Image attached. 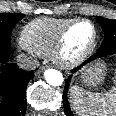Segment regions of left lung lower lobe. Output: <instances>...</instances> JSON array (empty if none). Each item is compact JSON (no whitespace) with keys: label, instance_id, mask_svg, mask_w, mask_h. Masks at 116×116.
<instances>
[{"label":"left lung lower lobe","instance_id":"0a47b994","mask_svg":"<svg viewBox=\"0 0 116 116\" xmlns=\"http://www.w3.org/2000/svg\"><path fill=\"white\" fill-rule=\"evenodd\" d=\"M113 54H116V49H112V50H109V51H106V52L97 51V53L92 55L87 60V62H92V61H94L98 58L105 57V56H108V55H113ZM79 68L80 67H77V68L73 69L72 73H75ZM70 81H71V76H69L65 80V87H64V92H63V105H64V111H65L66 116H74L72 111H71V108L69 106L68 98H67V92H68V88H69V85H70Z\"/></svg>","mask_w":116,"mask_h":116}]
</instances>
